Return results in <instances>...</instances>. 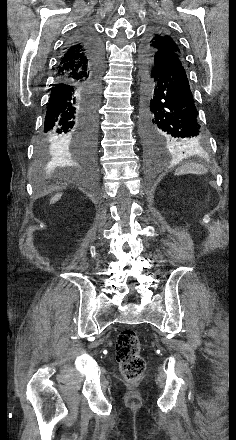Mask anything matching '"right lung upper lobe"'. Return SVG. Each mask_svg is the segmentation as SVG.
<instances>
[{
  "mask_svg": "<svg viewBox=\"0 0 236 440\" xmlns=\"http://www.w3.org/2000/svg\"><path fill=\"white\" fill-rule=\"evenodd\" d=\"M90 78V62L79 43L67 45L57 68L56 81L86 83Z\"/></svg>",
  "mask_w": 236,
  "mask_h": 440,
  "instance_id": "cb5924a9",
  "label": "right lung upper lobe"
}]
</instances>
